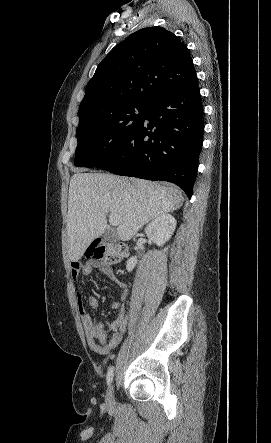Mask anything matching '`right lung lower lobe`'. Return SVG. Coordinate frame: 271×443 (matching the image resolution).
I'll return each instance as SVG.
<instances>
[{"label": "right lung lower lobe", "instance_id": "98d812e1", "mask_svg": "<svg viewBox=\"0 0 271 443\" xmlns=\"http://www.w3.org/2000/svg\"><path fill=\"white\" fill-rule=\"evenodd\" d=\"M203 105L197 80L156 96L141 123L99 169L163 180L192 196L203 138Z\"/></svg>", "mask_w": 271, "mask_h": 443}]
</instances>
